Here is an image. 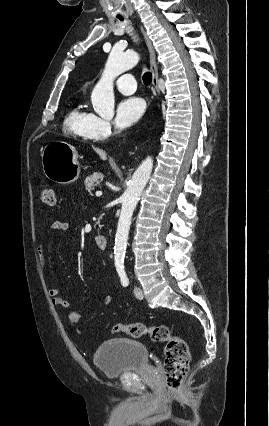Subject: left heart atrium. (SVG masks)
Segmentation results:
<instances>
[{
	"instance_id": "obj_1",
	"label": "left heart atrium",
	"mask_w": 269,
	"mask_h": 426,
	"mask_svg": "<svg viewBox=\"0 0 269 426\" xmlns=\"http://www.w3.org/2000/svg\"><path fill=\"white\" fill-rule=\"evenodd\" d=\"M145 111V103L139 97L123 99L116 108L115 124L120 129H125L135 124Z\"/></svg>"
}]
</instances>
